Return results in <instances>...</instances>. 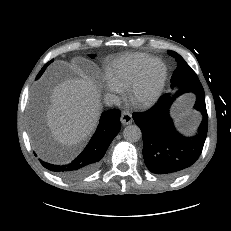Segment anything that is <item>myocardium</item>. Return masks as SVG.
<instances>
[{
  "instance_id": "myocardium-1",
  "label": "myocardium",
  "mask_w": 231,
  "mask_h": 231,
  "mask_svg": "<svg viewBox=\"0 0 231 231\" xmlns=\"http://www.w3.org/2000/svg\"><path fill=\"white\" fill-rule=\"evenodd\" d=\"M159 65L160 66V76L158 83L153 90V92L145 98H142L138 95V91L142 84L144 83L146 76L149 72V70L154 66ZM167 80V67L164 64V62L160 59H151L149 62H147L143 68L140 70L139 74L135 78V80L131 83L128 89V98L130 101L136 105L139 108H148L152 105H154L158 99L160 98L165 84Z\"/></svg>"
}]
</instances>
